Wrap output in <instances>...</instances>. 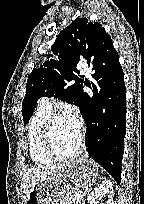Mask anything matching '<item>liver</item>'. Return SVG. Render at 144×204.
Here are the masks:
<instances>
[{
	"label": "liver",
	"instance_id": "liver-1",
	"mask_svg": "<svg viewBox=\"0 0 144 204\" xmlns=\"http://www.w3.org/2000/svg\"><path fill=\"white\" fill-rule=\"evenodd\" d=\"M67 164H69V162L66 164H57V165H48V166L38 165V166L27 168L22 178V182H23L22 188H23L25 202L31 188L37 182L53 179V177L57 175L59 171Z\"/></svg>",
	"mask_w": 144,
	"mask_h": 204
}]
</instances>
